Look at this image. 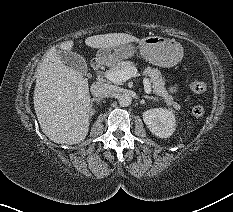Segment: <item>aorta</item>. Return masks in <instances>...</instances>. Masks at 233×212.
I'll return each instance as SVG.
<instances>
[{
  "instance_id": "762f6f07",
  "label": "aorta",
  "mask_w": 233,
  "mask_h": 212,
  "mask_svg": "<svg viewBox=\"0 0 233 212\" xmlns=\"http://www.w3.org/2000/svg\"><path fill=\"white\" fill-rule=\"evenodd\" d=\"M119 104L123 107H127L132 103V98L129 94H122L119 97Z\"/></svg>"
}]
</instances>
